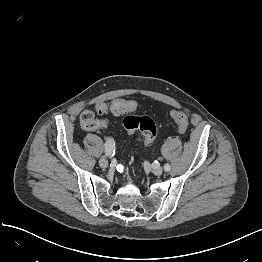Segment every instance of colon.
<instances>
[{
  "instance_id": "5ec220e1",
  "label": "colon",
  "mask_w": 262,
  "mask_h": 262,
  "mask_svg": "<svg viewBox=\"0 0 262 262\" xmlns=\"http://www.w3.org/2000/svg\"><path fill=\"white\" fill-rule=\"evenodd\" d=\"M106 104H99L96 106L95 111L98 114L110 112L114 115L126 114L122 124L129 134L139 131L144 136L145 147H150L157 135V128L154 121L148 116H140L135 112L138 105L135 101L117 99L112 101L107 107ZM170 115L175 121L180 133H185L188 129V117L180 110H171ZM82 128L85 130H96L106 124L104 118L96 117L95 112L86 110L80 116Z\"/></svg>"
}]
</instances>
